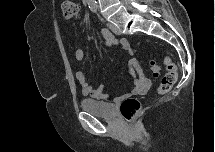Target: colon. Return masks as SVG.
I'll return each instance as SVG.
<instances>
[{"instance_id": "colon-1", "label": "colon", "mask_w": 215, "mask_h": 152, "mask_svg": "<svg viewBox=\"0 0 215 152\" xmlns=\"http://www.w3.org/2000/svg\"><path fill=\"white\" fill-rule=\"evenodd\" d=\"M78 11L77 4L72 0H64L62 2V13L66 19H72ZM164 65L167 70L163 76L161 83L158 87L160 94L169 92L175 85L178 77V71L176 64L168 57L164 58ZM150 71L153 77H159L161 73L160 66L155 62H150ZM141 109V104L138 99L134 97H128L124 99L120 105L121 115L128 121L133 119Z\"/></svg>"}]
</instances>
